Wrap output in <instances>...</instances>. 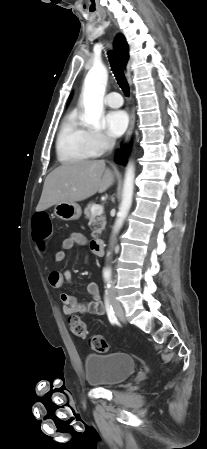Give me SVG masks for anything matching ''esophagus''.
Listing matches in <instances>:
<instances>
[{
  "instance_id": "esophagus-1",
  "label": "esophagus",
  "mask_w": 207,
  "mask_h": 449,
  "mask_svg": "<svg viewBox=\"0 0 207 449\" xmlns=\"http://www.w3.org/2000/svg\"><path fill=\"white\" fill-rule=\"evenodd\" d=\"M134 124H135V114H134V111L132 110L131 115H130V123H129V127H128V130L125 135L124 143H127L129 141L130 136L133 132Z\"/></svg>"
}]
</instances>
